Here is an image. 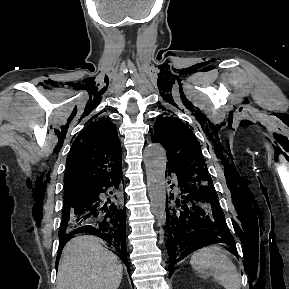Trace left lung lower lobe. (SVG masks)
I'll return each mask as SVG.
<instances>
[{"label":"left lung lower lobe","instance_id":"obj_1","mask_svg":"<svg viewBox=\"0 0 289 289\" xmlns=\"http://www.w3.org/2000/svg\"><path fill=\"white\" fill-rule=\"evenodd\" d=\"M172 172L178 179V191L166 198L170 274L177 262L206 245L226 243L236 248L214 186L168 169V175Z\"/></svg>","mask_w":289,"mask_h":289}]
</instances>
